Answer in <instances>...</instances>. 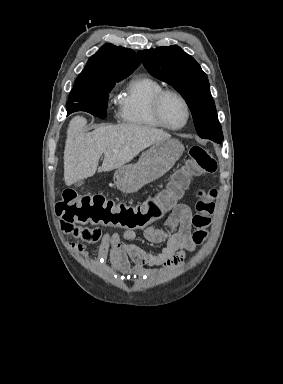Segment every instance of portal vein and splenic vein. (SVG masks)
<instances>
[{"label": "portal vein and splenic vein", "instance_id": "18ae733b", "mask_svg": "<svg viewBox=\"0 0 283 384\" xmlns=\"http://www.w3.org/2000/svg\"><path fill=\"white\" fill-rule=\"evenodd\" d=\"M113 152H118V150H113Z\"/></svg>", "mask_w": 283, "mask_h": 384}]
</instances>
